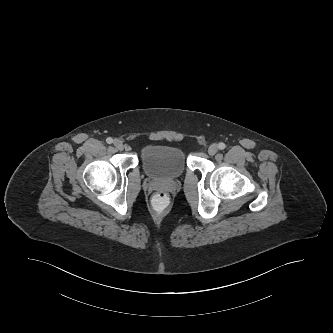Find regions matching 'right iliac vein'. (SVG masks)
Returning <instances> with one entry per match:
<instances>
[{
    "label": "right iliac vein",
    "mask_w": 333,
    "mask_h": 333,
    "mask_svg": "<svg viewBox=\"0 0 333 333\" xmlns=\"http://www.w3.org/2000/svg\"><path fill=\"white\" fill-rule=\"evenodd\" d=\"M114 146L118 150H123V148H124L122 141L118 140V139L114 140Z\"/></svg>",
    "instance_id": "right-iliac-vein-1"
}]
</instances>
